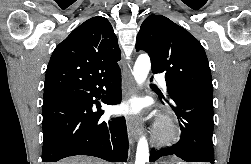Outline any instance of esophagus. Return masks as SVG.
Returning <instances> with one entry per match:
<instances>
[{
	"instance_id": "esophagus-1",
	"label": "esophagus",
	"mask_w": 251,
	"mask_h": 164,
	"mask_svg": "<svg viewBox=\"0 0 251 164\" xmlns=\"http://www.w3.org/2000/svg\"><path fill=\"white\" fill-rule=\"evenodd\" d=\"M135 93H136V87H135L132 77H130L129 81L127 82L126 98L130 99L131 97L135 95ZM126 122H127L129 138L131 142H134L135 140H137L139 136V131H140L139 126H138L139 119L137 116L129 115L126 118Z\"/></svg>"
}]
</instances>
